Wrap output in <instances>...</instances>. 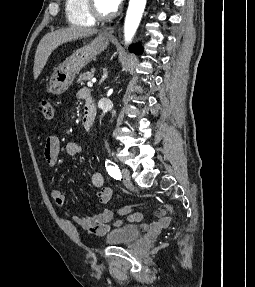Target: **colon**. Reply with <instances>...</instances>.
<instances>
[{
	"mask_svg": "<svg viewBox=\"0 0 255 287\" xmlns=\"http://www.w3.org/2000/svg\"><path fill=\"white\" fill-rule=\"evenodd\" d=\"M39 110H40L42 116L47 120H50L54 117L55 106L49 100H42L39 103ZM146 205H147V203L125 205L118 210V214L119 215H129L130 213H132V211L135 208L144 207ZM167 208L172 213V215L174 217H176V212L174 211V209L171 206H167Z\"/></svg>",
	"mask_w": 255,
	"mask_h": 287,
	"instance_id": "5ec220e1",
	"label": "colon"
}]
</instances>
